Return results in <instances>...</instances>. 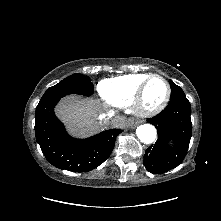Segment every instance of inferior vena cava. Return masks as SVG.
<instances>
[{"label":"inferior vena cava","instance_id":"obj_1","mask_svg":"<svg viewBox=\"0 0 221 221\" xmlns=\"http://www.w3.org/2000/svg\"><path fill=\"white\" fill-rule=\"evenodd\" d=\"M113 116V113L111 111H109L107 114L103 113V114H100L99 115V120L100 122H103V123H108L110 118ZM116 118H114L112 120V123L113 121L115 120Z\"/></svg>","mask_w":221,"mask_h":221}]
</instances>
